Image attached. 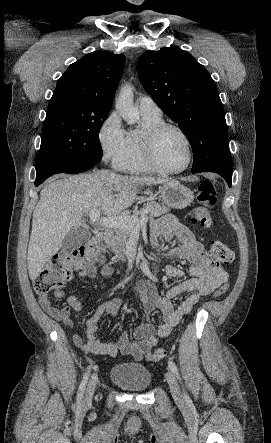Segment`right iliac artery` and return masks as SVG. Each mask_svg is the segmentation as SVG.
Instances as JSON below:
<instances>
[{"instance_id":"right-iliac-artery-1","label":"right iliac artery","mask_w":271,"mask_h":443,"mask_svg":"<svg viewBox=\"0 0 271 443\" xmlns=\"http://www.w3.org/2000/svg\"><path fill=\"white\" fill-rule=\"evenodd\" d=\"M88 377H89V371L87 373H85V375H84V377H83V379H82V381L80 383V386L78 388V393H77V404L78 405H80L81 402H82V398H83V395H84V391H85V388H86Z\"/></svg>"}]
</instances>
